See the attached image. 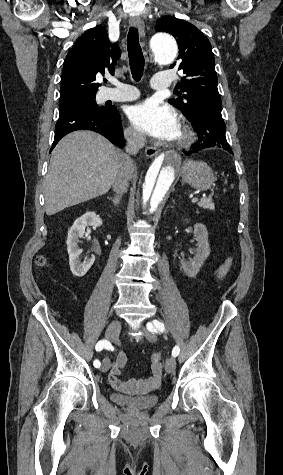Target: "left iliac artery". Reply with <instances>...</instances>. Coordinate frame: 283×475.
<instances>
[{
  "label": "left iliac artery",
  "mask_w": 283,
  "mask_h": 475,
  "mask_svg": "<svg viewBox=\"0 0 283 475\" xmlns=\"http://www.w3.org/2000/svg\"><path fill=\"white\" fill-rule=\"evenodd\" d=\"M153 325L156 327V329H157L158 331L163 332V331L165 330L164 324L161 323V322H159V321H157V320H154V321H153ZM153 325H152V323H147V328H148L149 331H155V332H156V329L153 327ZM179 352H180L179 347H178V346H175V347L173 348V350H172V356H173V357L178 356Z\"/></svg>",
  "instance_id": "left-iliac-artery-1"
}]
</instances>
